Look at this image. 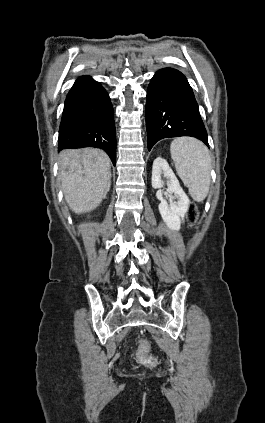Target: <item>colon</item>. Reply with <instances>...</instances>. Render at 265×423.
I'll list each match as a JSON object with an SVG mask.
<instances>
[{"mask_svg": "<svg viewBox=\"0 0 265 423\" xmlns=\"http://www.w3.org/2000/svg\"><path fill=\"white\" fill-rule=\"evenodd\" d=\"M188 217L192 225H195L198 221L199 213L194 205H190L188 210ZM149 346L146 341H142L141 348L138 352L139 358L148 365H155L156 359L148 355Z\"/></svg>", "mask_w": 265, "mask_h": 423, "instance_id": "1", "label": "colon"}]
</instances>
